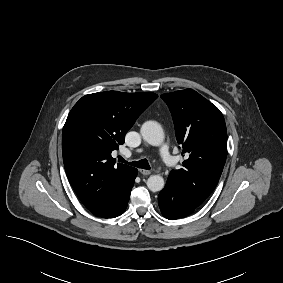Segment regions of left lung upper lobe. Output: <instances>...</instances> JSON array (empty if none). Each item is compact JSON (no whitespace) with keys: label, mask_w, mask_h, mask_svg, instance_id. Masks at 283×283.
Returning a JSON list of instances; mask_svg holds the SVG:
<instances>
[{"label":"left lung upper lobe","mask_w":283,"mask_h":283,"mask_svg":"<svg viewBox=\"0 0 283 283\" xmlns=\"http://www.w3.org/2000/svg\"><path fill=\"white\" fill-rule=\"evenodd\" d=\"M161 98L171 111L182 154H189L183 168L172 170L168 179L199 206L216 187L226 161L227 130L223 115L192 89L166 93Z\"/></svg>","instance_id":"obj_1"}]
</instances>
